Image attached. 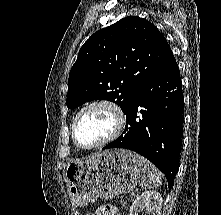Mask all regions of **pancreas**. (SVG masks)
I'll use <instances>...</instances> for the list:
<instances>
[{
  "mask_svg": "<svg viewBox=\"0 0 221 215\" xmlns=\"http://www.w3.org/2000/svg\"><path fill=\"white\" fill-rule=\"evenodd\" d=\"M120 204H121L122 206L126 207V206L128 205L127 199H122V200L120 201Z\"/></svg>",
  "mask_w": 221,
  "mask_h": 215,
  "instance_id": "obj_1",
  "label": "pancreas"
}]
</instances>
